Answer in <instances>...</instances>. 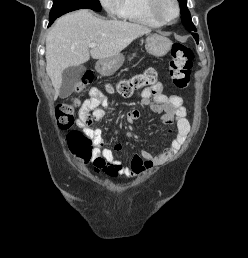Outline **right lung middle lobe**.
Instances as JSON below:
<instances>
[{"mask_svg":"<svg viewBox=\"0 0 248 258\" xmlns=\"http://www.w3.org/2000/svg\"><path fill=\"white\" fill-rule=\"evenodd\" d=\"M89 8L94 11H100L101 5L99 0H53V6L50 11V20H55L68 12Z\"/></svg>","mask_w":248,"mask_h":258,"instance_id":"1","label":"right lung middle lobe"}]
</instances>
